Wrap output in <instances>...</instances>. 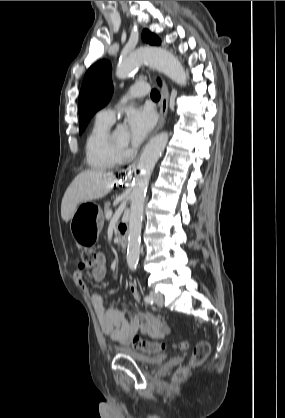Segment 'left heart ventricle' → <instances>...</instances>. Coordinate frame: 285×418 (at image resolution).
Segmentation results:
<instances>
[{
	"label": "left heart ventricle",
	"mask_w": 285,
	"mask_h": 418,
	"mask_svg": "<svg viewBox=\"0 0 285 418\" xmlns=\"http://www.w3.org/2000/svg\"><path fill=\"white\" fill-rule=\"evenodd\" d=\"M129 136L126 130L124 129H117L113 132V142L119 146L123 147L126 146L128 143Z\"/></svg>",
	"instance_id": "obj_1"
}]
</instances>
